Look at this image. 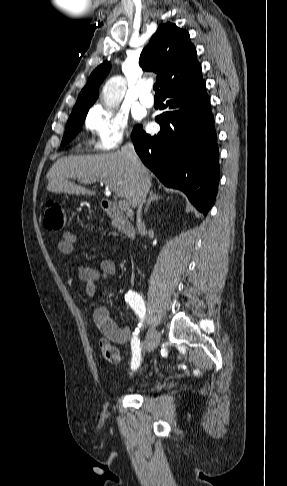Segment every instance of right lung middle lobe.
Masks as SVG:
<instances>
[{
    "instance_id": "obj_1",
    "label": "right lung middle lobe",
    "mask_w": 287,
    "mask_h": 486,
    "mask_svg": "<svg viewBox=\"0 0 287 486\" xmlns=\"http://www.w3.org/2000/svg\"><path fill=\"white\" fill-rule=\"evenodd\" d=\"M87 112H88V110L81 112V113H78V114H71L70 115L69 120H68L67 125H66V131H65V134H64L62 142H61V146L69 143L75 137V135L79 132L81 125H82L83 121L85 120Z\"/></svg>"
}]
</instances>
